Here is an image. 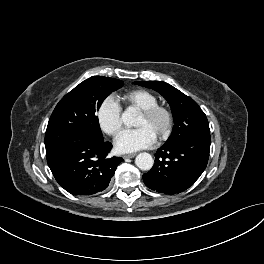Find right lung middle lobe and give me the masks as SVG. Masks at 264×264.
Wrapping results in <instances>:
<instances>
[{
    "mask_svg": "<svg viewBox=\"0 0 264 264\" xmlns=\"http://www.w3.org/2000/svg\"><path fill=\"white\" fill-rule=\"evenodd\" d=\"M123 84L114 78L93 76L66 94L49 119L46 151L77 140L103 141L96 113L103 100Z\"/></svg>",
    "mask_w": 264,
    "mask_h": 264,
    "instance_id": "right-lung-middle-lobe-1",
    "label": "right lung middle lobe"
}]
</instances>
